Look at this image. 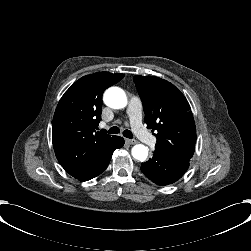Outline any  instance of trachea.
<instances>
[{"instance_id": "obj_1", "label": "trachea", "mask_w": 251, "mask_h": 251, "mask_svg": "<svg viewBox=\"0 0 251 251\" xmlns=\"http://www.w3.org/2000/svg\"><path fill=\"white\" fill-rule=\"evenodd\" d=\"M110 134H117L120 132V129L116 126H113L109 129L108 131ZM125 137L129 138V139H132L133 138V134L130 130L126 129L123 131L122 133Z\"/></svg>"}]
</instances>
